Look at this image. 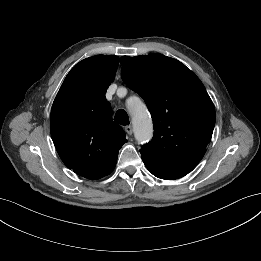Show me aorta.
I'll list each match as a JSON object with an SVG mask.
<instances>
[{"label":"aorta","mask_w":261,"mask_h":261,"mask_svg":"<svg viewBox=\"0 0 261 261\" xmlns=\"http://www.w3.org/2000/svg\"><path fill=\"white\" fill-rule=\"evenodd\" d=\"M129 109L136 140L140 143L150 141L153 137V125L146 106L138 102L134 105H129Z\"/></svg>","instance_id":"1"}]
</instances>
